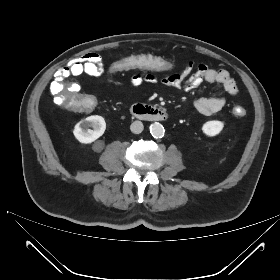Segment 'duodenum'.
Here are the masks:
<instances>
[{
  "label": "duodenum",
  "instance_id": "obj_1",
  "mask_svg": "<svg viewBox=\"0 0 280 280\" xmlns=\"http://www.w3.org/2000/svg\"><path fill=\"white\" fill-rule=\"evenodd\" d=\"M133 116L148 121L161 122L168 119V113L165 109L147 104H135L131 107Z\"/></svg>",
  "mask_w": 280,
  "mask_h": 280
}]
</instances>
